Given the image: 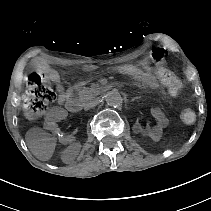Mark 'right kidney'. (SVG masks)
I'll use <instances>...</instances> for the list:
<instances>
[{
  "label": "right kidney",
  "mask_w": 211,
  "mask_h": 211,
  "mask_svg": "<svg viewBox=\"0 0 211 211\" xmlns=\"http://www.w3.org/2000/svg\"><path fill=\"white\" fill-rule=\"evenodd\" d=\"M66 118L67 113L63 107L53 108L46 113L44 124L53 133L54 139L62 140L63 146H72L74 135L59 124L61 121L66 120Z\"/></svg>",
  "instance_id": "1"
}]
</instances>
